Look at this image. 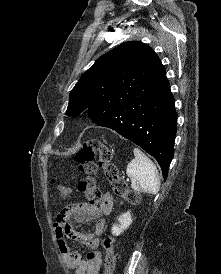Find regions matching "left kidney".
Returning a JSON list of instances; mask_svg holds the SVG:
<instances>
[{
    "label": "left kidney",
    "mask_w": 221,
    "mask_h": 274,
    "mask_svg": "<svg viewBox=\"0 0 221 274\" xmlns=\"http://www.w3.org/2000/svg\"><path fill=\"white\" fill-rule=\"evenodd\" d=\"M119 224H114L112 226V234L115 236L120 235L124 230H126L132 223V216L130 211L123 213L118 218Z\"/></svg>",
    "instance_id": "obj_1"
}]
</instances>
